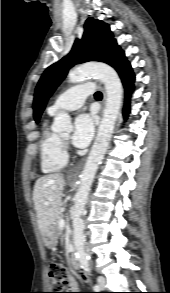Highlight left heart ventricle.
Returning a JSON list of instances; mask_svg holds the SVG:
<instances>
[{
  "mask_svg": "<svg viewBox=\"0 0 170 293\" xmlns=\"http://www.w3.org/2000/svg\"><path fill=\"white\" fill-rule=\"evenodd\" d=\"M61 137L62 138H67L68 137V134H62Z\"/></svg>",
  "mask_w": 170,
  "mask_h": 293,
  "instance_id": "b2bd125f",
  "label": "left heart ventricle"
}]
</instances>
